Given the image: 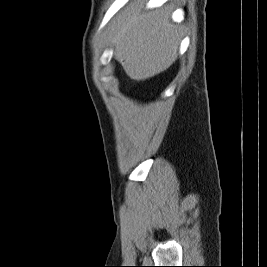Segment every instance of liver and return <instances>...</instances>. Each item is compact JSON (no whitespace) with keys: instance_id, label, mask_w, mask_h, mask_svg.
Returning <instances> with one entry per match:
<instances>
[{"instance_id":"obj_1","label":"liver","mask_w":267,"mask_h":267,"mask_svg":"<svg viewBox=\"0 0 267 267\" xmlns=\"http://www.w3.org/2000/svg\"><path fill=\"white\" fill-rule=\"evenodd\" d=\"M142 0L122 10L109 33L113 55L133 80L144 81L167 70L177 59L181 28L169 9L148 10Z\"/></svg>"}]
</instances>
